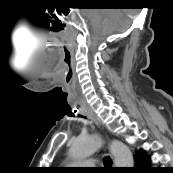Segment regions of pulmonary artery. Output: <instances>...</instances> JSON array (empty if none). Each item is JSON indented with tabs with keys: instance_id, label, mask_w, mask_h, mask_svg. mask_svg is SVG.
<instances>
[{
	"instance_id": "pulmonary-artery-1",
	"label": "pulmonary artery",
	"mask_w": 173,
	"mask_h": 173,
	"mask_svg": "<svg viewBox=\"0 0 173 173\" xmlns=\"http://www.w3.org/2000/svg\"><path fill=\"white\" fill-rule=\"evenodd\" d=\"M78 164H81L85 167H90V166H94L96 163L94 161L87 160V161H81Z\"/></svg>"
}]
</instances>
